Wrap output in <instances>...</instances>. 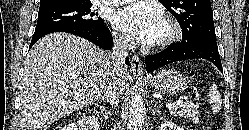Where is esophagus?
I'll use <instances>...</instances> for the list:
<instances>
[{
  "instance_id": "obj_1",
  "label": "esophagus",
  "mask_w": 249,
  "mask_h": 130,
  "mask_svg": "<svg viewBox=\"0 0 249 130\" xmlns=\"http://www.w3.org/2000/svg\"><path fill=\"white\" fill-rule=\"evenodd\" d=\"M142 63L140 58L137 55H133L132 56V60H131V71L137 75V76H141L142 75Z\"/></svg>"
}]
</instances>
